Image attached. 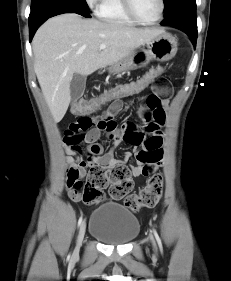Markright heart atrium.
I'll return each mask as SVG.
<instances>
[{"instance_id": "obj_1", "label": "right heart atrium", "mask_w": 231, "mask_h": 281, "mask_svg": "<svg viewBox=\"0 0 231 281\" xmlns=\"http://www.w3.org/2000/svg\"><path fill=\"white\" fill-rule=\"evenodd\" d=\"M102 0H85L86 4L92 9H98Z\"/></svg>"}]
</instances>
